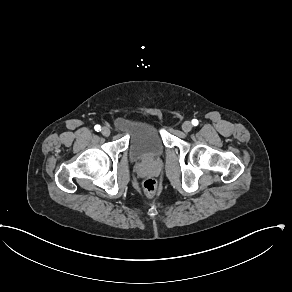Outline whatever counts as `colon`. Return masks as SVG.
<instances>
[{"label":"colon","mask_w":292,"mask_h":292,"mask_svg":"<svg viewBox=\"0 0 292 292\" xmlns=\"http://www.w3.org/2000/svg\"><path fill=\"white\" fill-rule=\"evenodd\" d=\"M143 192L146 197L152 198L157 192L156 181L152 178H148L143 183Z\"/></svg>","instance_id":"obj_1"}]
</instances>
